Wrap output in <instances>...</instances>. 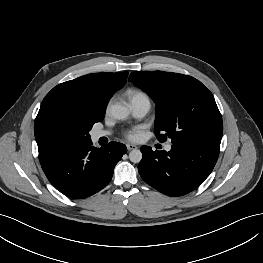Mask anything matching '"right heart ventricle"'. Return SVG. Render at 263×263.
Masks as SVG:
<instances>
[{"mask_svg": "<svg viewBox=\"0 0 263 263\" xmlns=\"http://www.w3.org/2000/svg\"><path fill=\"white\" fill-rule=\"evenodd\" d=\"M128 96L131 100V103L138 100H149L147 94L141 90L130 89L128 90Z\"/></svg>", "mask_w": 263, "mask_h": 263, "instance_id": "obj_1", "label": "right heart ventricle"}]
</instances>
